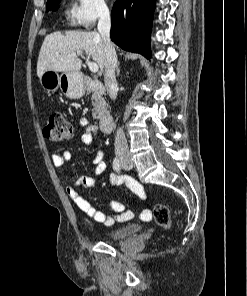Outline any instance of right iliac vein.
I'll list each match as a JSON object with an SVG mask.
<instances>
[{
  "label": "right iliac vein",
  "mask_w": 247,
  "mask_h": 296,
  "mask_svg": "<svg viewBox=\"0 0 247 296\" xmlns=\"http://www.w3.org/2000/svg\"><path fill=\"white\" fill-rule=\"evenodd\" d=\"M122 163L128 164L130 162V158L126 156H120Z\"/></svg>",
  "instance_id": "1"
}]
</instances>
